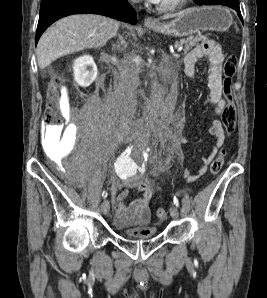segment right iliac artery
<instances>
[{
	"mask_svg": "<svg viewBox=\"0 0 267 298\" xmlns=\"http://www.w3.org/2000/svg\"><path fill=\"white\" fill-rule=\"evenodd\" d=\"M131 149H132V146L130 147H127L126 149H125V151L120 155V157L118 158V163H119V165H121V164H123V163H125V162H128L129 161V154L131 153ZM107 192L106 191H103V193H102V197L103 198H106L107 197Z\"/></svg>",
	"mask_w": 267,
	"mask_h": 298,
	"instance_id": "obj_1",
	"label": "right iliac artery"
}]
</instances>
